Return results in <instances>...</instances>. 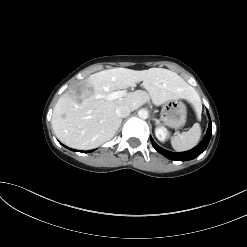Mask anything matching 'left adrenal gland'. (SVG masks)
Here are the masks:
<instances>
[{
    "label": "left adrenal gland",
    "instance_id": "a2214340",
    "mask_svg": "<svg viewBox=\"0 0 247 247\" xmlns=\"http://www.w3.org/2000/svg\"><path fill=\"white\" fill-rule=\"evenodd\" d=\"M154 121H155L156 125L160 124V121L157 118H154Z\"/></svg>",
    "mask_w": 247,
    "mask_h": 247
}]
</instances>
